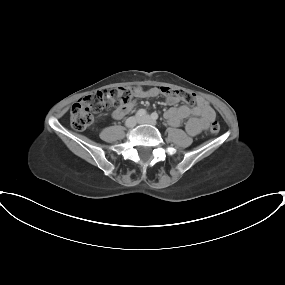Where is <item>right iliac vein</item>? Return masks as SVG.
Wrapping results in <instances>:
<instances>
[{
  "instance_id": "right-iliac-vein-1",
  "label": "right iliac vein",
  "mask_w": 285,
  "mask_h": 285,
  "mask_svg": "<svg viewBox=\"0 0 285 285\" xmlns=\"http://www.w3.org/2000/svg\"><path fill=\"white\" fill-rule=\"evenodd\" d=\"M138 122H139V118L137 116H133L127 119L126 126L128 128H133L137 125Z\"/></svg>"
}]
</instances>
